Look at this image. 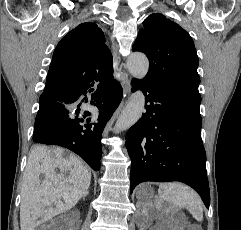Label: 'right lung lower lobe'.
<instances>
[{
  "mask_svg": "<svg viewBox=\"0 0 241 230\" xmlns=\"http://www.w3.org/2000/svg\"><path fill=\"white\" fill-rule=\"evenodd\" d=\"M90 93L91 104L99 109L98 118L92 121L81 118L79 114L80 105L88 101ZM122 94L120 83L114 80L63 100L41 97L33 141L68 148L82 157L93 170H99L102 132L118 107Z\"/></svg>",
  "mask_w": 241,
  "mask_h": 230,
  "instance_id": "obj_1",
  "label": "right lung lower lobe"
}]
</instances>
